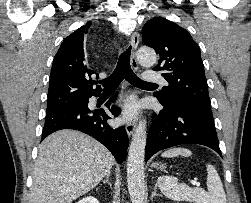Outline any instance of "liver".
<instances>
[{
  "label": "liver",
  "mask_w": 251,
  "mask_h": 203,
  "mask_svg": "<svg viewBox=\"0 0 251 203\" xmlns=\"http://www.w3.org/2000/svg\"><path fill=\"white\" fill-rule=\"evenodd\" d=\"M114 162L95 139L74 130L57 131L39 146L30 203H71L97 186Z\"/></svg>",
  "instance_id": "1"
}]
</instances>
